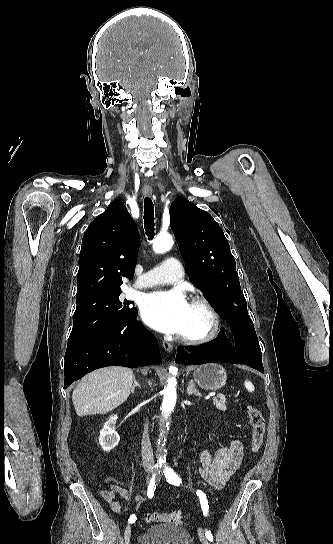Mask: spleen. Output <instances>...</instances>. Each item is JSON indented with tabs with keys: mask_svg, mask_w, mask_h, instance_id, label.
Masks as SVG:
<instances>
[{
	"mask_svg": "<svg viewBox=\"0 0 333 544\" xmlns=\"http://www.w3.org/2000/svg\"><path fill=\"white\" fill-rule=\"evenodd\" d=\"M244 385H245L246 389H247L249 392H253V391H254V386H253V384H252L250 381L246 380L245 383H244Z\"/></svg>",
	"mask_w": 333,
	"mask_h": 544,
	"instance_id": "3e777b00",
	"label": "spleen"
}]
</instances>
